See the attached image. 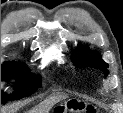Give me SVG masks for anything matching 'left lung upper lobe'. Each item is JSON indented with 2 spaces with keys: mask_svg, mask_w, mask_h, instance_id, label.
<instances>
[{
  "mask_svg": "<svg viewBox=\"0 0 123 113\" xmlns=\"http://www.w3.org/2000/svg\"><path fill=\"white\" fill-rule=\"evenodd\" d=\"M73 61L77 67L99 68L104 70L105 75L108 74V71L106 70L108 64L101 59V56L97 53L90 52L89 50H84L83 47L77 48L73 55Z\"/></svg>",
  "mask_w": 123,
  "mask_h": 113,
  "instance_id": "5c2ea615",
  "label": "left lung upper lobe"
}]
</instances>
